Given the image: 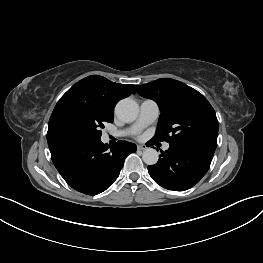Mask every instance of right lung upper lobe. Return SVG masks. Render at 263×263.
Wrapping results in <instances>:
<instances>
[{"instance_id": "right-lung-upper-lobe-1", "label": "right lung upper lobe", "mask_w": 263, "mask_h": 263, "mask_svg": "<svg viewBox=\"0 0 263 263\" xmlns=\"http://www.w3.org/2000/svg\"><path fill=\"white\" fill-rule=\"evenodd\" d=\"M134 85L114 83L105 77L92 75L74 84L58 101L49 120L47 133L48 146L55 145L50 139L51 121L58 109L68 101H80L114 115L116 103L131 93Z\"/></svg>"}]
</instances>
